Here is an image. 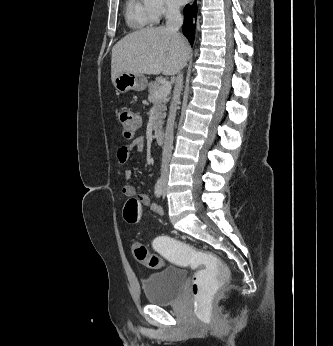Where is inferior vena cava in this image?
<instances>
[{
    "mask_svg": "<svg viewBox=\"0 0 333 346\" xmlns=\"http://www.w3.org/2000/svg\"><path fill=\"white\" fill-rule=\"evenodd\" d=\"M183 24V17L179 11V8L174 5H169L166 12V28L172 32L177 33L180 27ZM183 84V75L182 73H178L175 81V88L173 93V100L170 106L169 116L166 125L165 131V139L163 145L162 152V166H161V174L162 176L168 175L169 170V162L172 155L173 150V132H174V124L176 118L177 105L179 102L181 90Z\"/></svg>",
    "mask_w": 333,
    "mask_h": 346,
    "instance_id": "obj_1",
    "label": "inferior vena cava"
}]
</instances>
